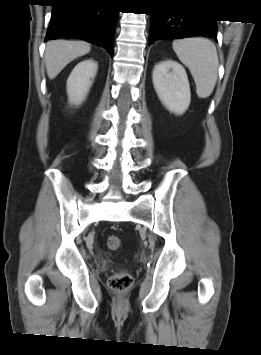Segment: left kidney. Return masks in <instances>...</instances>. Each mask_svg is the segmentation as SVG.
Listing matches in <instances>:
<instances>
[{
  "instance_id": "obj_1",
  "label": "left kidney",
  "mask_w": 261,
  "mask_h": 355,
  "mask_svg": "<svg viewBox=\"0 0 261 355\" xmlns=\"http://www.w3.org/2000/svg\"><path fill=\"white\" fill-rule=\"evenodd\" d=\"M152 80L162 104L177 115L183 114L191 101L190 86L184 67L172 60L155 65Z\"/></svg>"
}]
</instances>
